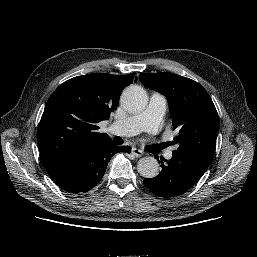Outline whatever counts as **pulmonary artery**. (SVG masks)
Wrapping results in <instances>:
<instances>
[{
    "label": "pulmonary artery",
    "mask_w": 257,
    "mask_h": 257,
    "mask_svg": "<svg viewBox=\"0 0 257 257\" xmlns=\"http://www.w3.org/2000/svg\"><path fill=\"white\" fill-rule=\"evenodd\" d=\"M166 109V98L162 94L154 92L150 97L147 107L142 112L113 121L110 130L119 136H133L141 131L152 132L156 130ZM172 156L173 149H168L165 157L171 159Z\"/></svg>",
    "instance_id": "obj_1"
}]
</instances>
